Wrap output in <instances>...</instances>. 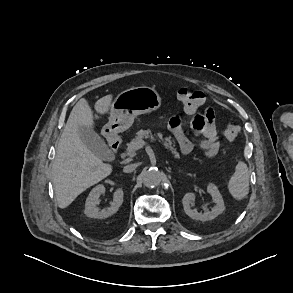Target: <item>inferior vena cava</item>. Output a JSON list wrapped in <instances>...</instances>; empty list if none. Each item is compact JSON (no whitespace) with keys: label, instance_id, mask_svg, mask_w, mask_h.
<instances>
[{"label":"inferior vena cava","instance_id":"inferior-vena-cava-1","mask_svg":"<svg viewBox=\"0 0 293 293\" xmlns=\"http://www.w3.org/2000/svg\"><path fill=\"white\" fill-rule=\"evenodd\" d=\"M137 164H129V165H126L124 168H123V172L125 173H131L133 172L136 168H137Z\"/></svg>","mask_w":293,"mask_h":293}]
</instances>
